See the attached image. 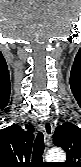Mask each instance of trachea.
<instances>
[{
	"label": "trachea",
	"instance_id": "1",
	"mask_svg": "<svg viewBox=\"0 0 81 167\" xmlns=\"http://www.w3.org/2000/svg\"><path fill=\"white\" fill-rule=\"evenodd\" d=\"M44 153V135L42 132H38L32 152V161L35 163L42 161V155Z\"/></svg>",
	"mask_w": 81,
	"mask_h": 167
}]
</instances>
